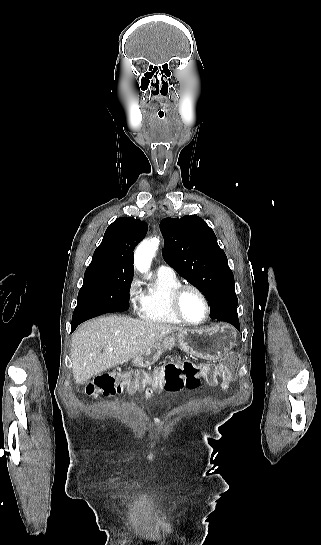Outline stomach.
Returning a JSON list of instances; mask_svg holds the SVG:
<instances>
[{
    "label": "stomach",
    "mask_w": 321,
    "mask_h": 545,
    "mask_svg": "<svg viewBox=\"0 0 321 545\" xmlns=\"http://www.w3.org/2000/svg\"><path fill=\"white\" fill-rule=\"evenodd\" d=\"M237 345V331L227 323H217L215 327L208 329H186L173 335H167L162 341L143 351L133 361L134 367H150L160 359L164 351H170L173 347H180L187 355H193L198 359L217 361L222 359Z\"/></svg>",
    "instance_id": "1"
}]
</instances>
